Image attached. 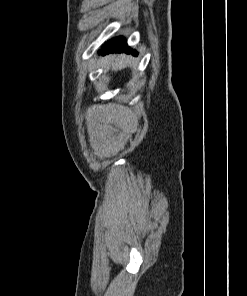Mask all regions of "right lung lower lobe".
Returning <instances> with one entry per match:
<instances>
[{"instance_id": "right-lung-lower-lobe-1", "label": "right lung lower lobe", "mask_w": 247, "mask_h": 296, "mask_svg": "<svg viewBox=\"0 0 247 296\" xmlns=\"http://www.w3.org/2000/svg\"><path fill=\"white\" fill-rule=\"evenodd\" d=\"M122 51L137 55L136 51L130 50V48L127 46V43L123 37H118L108 41L102 47L101 54L104 55L110 52H122Z\"/></svg>"}]
</instances>
